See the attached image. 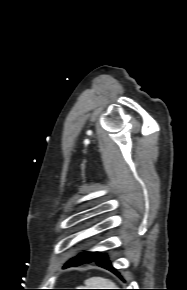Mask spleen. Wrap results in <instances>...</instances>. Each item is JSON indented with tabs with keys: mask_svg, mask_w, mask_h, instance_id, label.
<instances>
[{
	"mask_svg": "<svg viewBox=\"0 0 187 290\" xmlns=\"http://www.w3.org/2000/svg\"><path fill=\"white\" fill-rule=\"evenodd\" d=\"M89 289H116V285L109 279L103 277H93L85 281Z\"/></svg>",
	"mask_w": 187,
	"mask_h": 290,
	"instance_id": "obj_1",
	"label": "spleen"
}]
</instances>
